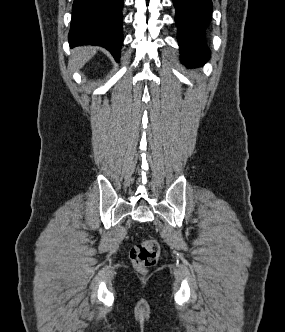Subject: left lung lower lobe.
Instances as JSON below:
<instances>
[{
	"label": "left lung lower lobe",
	"mask_w": 285,
	"mask_h": 332,
	"mask_svg": "<svg viewBox=\"0 0 285 332\" xmlns=\"http://www.w3.org/2000/svg\"><path fill=\"white\" fill-rule=\"evenodd\" d=\"M176 9L178 42L186 65L198 66L209 58L205 29L212 13L211 0H173Z\"/></svg>",
	"instance_id": "obj_1"
}]
</instances>
